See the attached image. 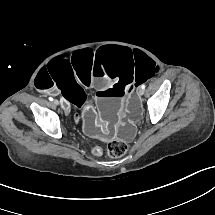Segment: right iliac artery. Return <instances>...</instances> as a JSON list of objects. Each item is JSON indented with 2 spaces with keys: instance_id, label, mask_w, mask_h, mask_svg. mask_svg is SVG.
<instances>
[{
  "instance_id": "right-iliac-artery-1",
  "label": "right iliac artery",
  "mask_w": 215,
  "mask_h": 215,
  "mask_svg": "<svg viewBox=\"0 0 215 215\" xmlns=\"http://www.w3.org/2000/svg\"><path fill=\"white\" fill-rule=\"evenodd\" d=\"M49 100H50V101H53V98H52V97H49Z\"/></svg>"
}]
</instances>
